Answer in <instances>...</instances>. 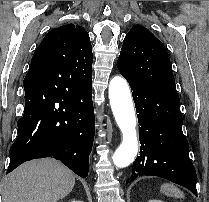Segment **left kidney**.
<instances>
[{
    "label": "left kidney",
    "mask_w": 209,
    "mask_h": 202,
    "mask_svg": "<svg viewBox=\"0 0 209 202\" xmlns=\"http://www.w3.org/2000/svg\"><path fill=\"white\" fill-rule=\"evenodd\" d=\"M148 202H163V201L157 200V199H152V200H149Z\"/></svg>",
    "instance_id": "1"
}]
</instances>
